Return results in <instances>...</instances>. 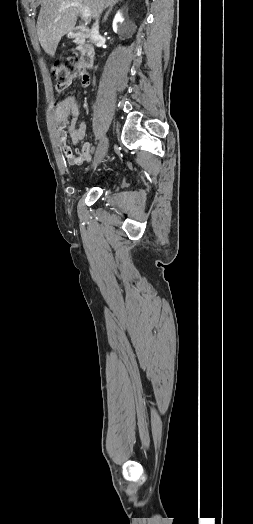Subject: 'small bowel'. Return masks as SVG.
<instances>
[{"mask_svg": "<svg viewBox=\"0 0 253 524\" xmlns=\"http://www.w3.org/2000/svg\"><path fill=\"white\" fill-rule=\"evenodd\" d=\"M57 91L61 92L63 90L57 89ZM79 115L80 108L77 100L73 96L60 99L53 110L57 138L66 161L73 166H80L84 162L91 160L89 159L90 145L88 143H83L75 152L66 145L68 135L74 145L79 144L85 138L86 124L84 122L78 124Z\"/></svg>", "mask_w": 253, "mask_h": 524, "instance_id": "obj_1", "label": "small bowel"}]
</instances>
